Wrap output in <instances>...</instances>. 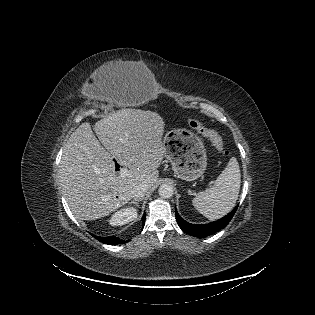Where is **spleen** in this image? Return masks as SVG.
I'll return each instance as SVG.
<instances>
[{"label": "spleen", "mask_w": 315, "mask_h": 315, "mask_svg": "<svg viewBox=\"0 0 315 315\" xmlns=\"http://www.w3.org/2000/svg\"><path fill=\"white\" fill-rule=\"evenodd\" d=\"M240 184L239 164L237 159L232 157L214 185L209 190L199 192L192 200L193 206L210 220L221 218L235 206Z\"/></svg>", "instance_id": "spleen-1"}]
</instances>
